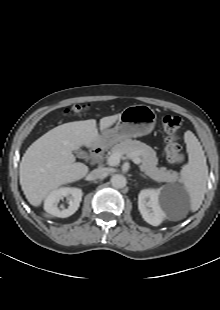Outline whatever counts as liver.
<instances>
[{
    "label": "liver",
    "instance_id": "obj_1",
    "mask_svg": "<svg viewBox=\"0 0 220 310\" xmlns=\"http://www.w3.org/2000/svg\"><path fill=\"white\" fill-rule=\"evenodd\" d=\"M119 115L100 119V129L113 125ZM100 142L96 120L89 119L59 125L32 143L19 167L20 185L28 202L40 206L52 190L85 177L88 166L75 162L72 152Z\"/></svg>",
    "mask_w": 220,
    "mask_h": 310
}]
</instances>
